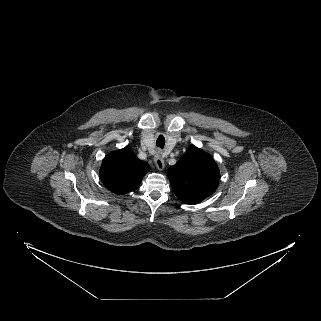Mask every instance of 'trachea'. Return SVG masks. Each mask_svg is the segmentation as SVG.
Wrapping results in <instances>:
<instances>
[{"mask_svg": "<svg viewBox=\"0 0 321 321\" xmlns=\"http://www.w3.org/2000/svg\"><path fill=\"white\" fill-rule=\"evenodd\" d=\"M165 145V138L163 136H159L156 140V146L163 149Z\"/></svg>", "mask_w": 321, "mask_h": 321, "instance_id": "1", "label": "trachea"}]
</instances>
